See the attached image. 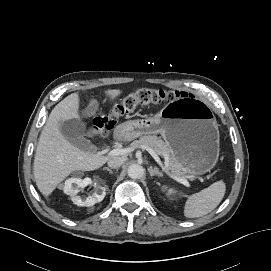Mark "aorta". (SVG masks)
I'll return each instance as SVG.
<instances>
[{"instance_id":"762f6f07","label":"aorta","mask_w":271,"mask_h":271,"mask_svg":"<svg viewBox=\"0 0 271 271\" xmlns=\"http://www.w3.org/2000/svg\"><path fill=\"white\" fill-rule=\"evenodd\" d=\"M127 173L132 179H140L144 175V168L139 164H132L128 167Z\"/></svg>"}]
</instances>
